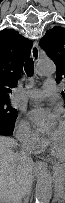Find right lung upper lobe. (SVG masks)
<instances>
[{"label": "right lung upper lobe", "mask_w": 65, "mask_h": 203, "mask_svg": "<svg viewBox=\"0 0 65 203\" xmlns=\"http://www.w3.org/2000/svg\"><path fill=\"white\" fill-rule=\"evenodd\" d=\"M32 45V41L13 29L0 32V99L9 100L11 88L17 86Z\"/></svg>", "instance_id": "right-lung-upper-lobe-1"}]
</instances>
